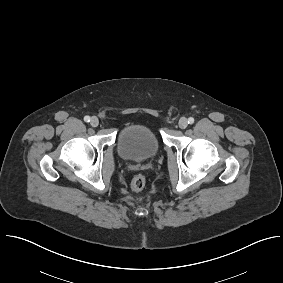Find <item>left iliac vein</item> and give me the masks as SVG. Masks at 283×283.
Segmentation results:
<instances>
[{"instance_id":"left-iliac-vein-1","label":"left iliac vein","mask_w":283,"mask_h":283,"mask_svg":"<svg viewBox=\"0 0 283 283\" xmlns=\"http://www.w3.org/2000/svg\"><path fill=\"white\" fill-rule=\"evenodd\" d=\"M178 125L181 129H185L188 126V120L185 117H182L179 120Z\"/></svg>"}]
</instances>
